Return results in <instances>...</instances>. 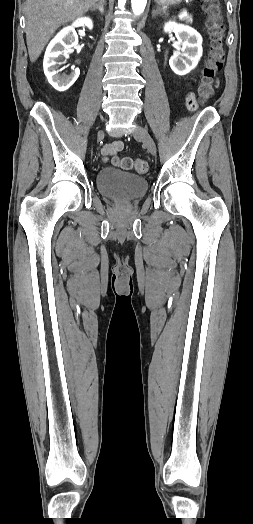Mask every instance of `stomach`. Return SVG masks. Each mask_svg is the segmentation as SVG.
<instances>
[{
	"label": "stomach",
	"instance_id": "1",
	"mask_svg": "<svg viewBox=\"0 0 253 524\" xmlns=\"http://www.w3.org/2000/svg\"><path fill=\"white\" fill-rule=\"evenodd\" d=\"M159 5H175L179 4L182 0H155Z\"/></svg>",
	"mask_w": 253,
	"mask_h": 524
}]
</instances>
